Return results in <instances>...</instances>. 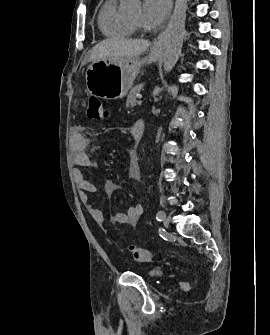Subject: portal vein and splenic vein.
<instances>
[{
  "mask_svg": "<svg viewBox=\"0 0 270 335\" xmlns=\"http://www.w3.org/2000/svg\"><path fill=\"white\" fill-rule=\"evenodd\" d=\"M143 101L141 99H139L138 101H136V104H141Z\"/></svg>",
  "mask_w": 270,
  "mask_h": 335,
  "instance_id": "18ae733b",
  "label": "portal vein and splenic vein"
}]
</instances>
